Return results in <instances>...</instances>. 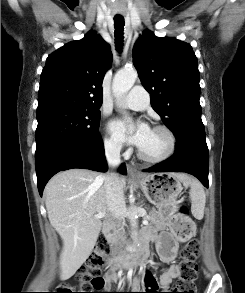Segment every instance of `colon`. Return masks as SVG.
I'll return each mask as SVG.
<instances>
[{
    "label": "colon",
    "instance_id": "obj_1",
    "mask_svg": "<svg viewBox=\"0 0 245 293\" xmlns=\"http://www.w3.org/2000/svg\"><path fill=\"white\" fill-rule=\"evenodd\" d=\"M180 213L183 216L188 214L186 206L180 207ZM190 228V222L187 219L175 221L172 226V234L174 236H182ZM98 252L91 255L87 261L80 267L77 272V279L80 283L79 289L85 292H72L73 287L63 285L55 288L49 293H94L105 287V281L100 276L103 266L102 257L109 253V245L105 237L100 236L97 239ZM200 255V245L197 240L189 241L181 251L182 261L180 263V278L173 287L171 293H195L194 282L197 277L196 259Z\"/></svg>",
    "mask_w": 245,
    "mask_h": 293
}]
</instances>
